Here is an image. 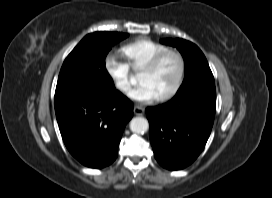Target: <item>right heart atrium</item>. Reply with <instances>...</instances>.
Masks as SVG:
<instances>
[{
	"label": "right heart atrium",
	"mask_w": 272,
	"mask_h": 198,
	"mask_svg": "<svg viewBox=\"0 0 272 198\" xmlns=\"http://www.w3.org/2000/svg\"><path fill=\"white\" fill-rule=\"evenodd\" d=\"M104 69L117 90L127 93L131 87V73L127 62L116 54H108L104 58Z\"/></svg>",
	"instance_id": "right-heart-atrium-1"
}]
</instances>
